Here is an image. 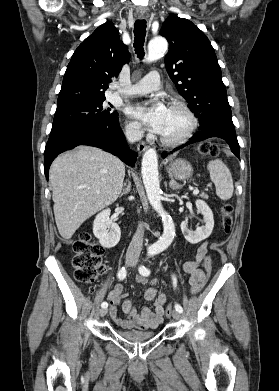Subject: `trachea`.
I'll return each mask as SVG.
<instances>
[{
    "label": "trachea",
    "instance_id": "trachea-1",
    "mask_svg": "<svg viewBox=\"0 0 279 391\" xmlns=\"http://www.w3.org/2000/svg\"><path fill=\"white\" fill-rule=\"evenodd\" d=\"M146 21L136 20L134 24V48L138 58L142 59L145 55L144 42L146 36Z\"/></svg>",
    "mask_w": 279,
    "mask_h": 391
}]
</instances>
